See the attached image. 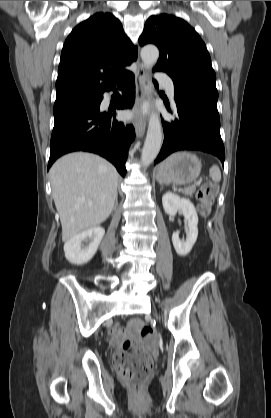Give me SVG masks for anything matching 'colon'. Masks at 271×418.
<instances>
[{
  "label": "colon",
  "mask_w": 271,
  "mask_h": 418,
  "mask_svg": "<svg viewBox=\"0 0 271 418\" xmlns=\"http://www.w3.org/2000/svg\"><path fill=\"white\" fill-rule=\"evenodd\" d=\"M217 193L213 183L204 184L197 193L200 213L208 215ZM142 338L154 335V329L137 323ZM114 366L121 378L134 390L140 391L145 385L152 368L151 356L142 349L138 339L122 344L115 353Z\"/></svg>",
  "instance_id": "1"
}]
</instances>
